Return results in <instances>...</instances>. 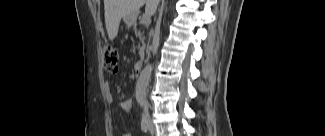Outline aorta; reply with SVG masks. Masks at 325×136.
Instances as JSON below:
<instances>
[{
    "mask_svg": "<svg viewBox=\"0 0 325 136\" xmlns=\"http://www.w3.org/2000/svg\"><path fill=\"white\" fill-rule=\"evenodd\" d=\"M152 70L153 67L151 64L146 65L136 83L135 96L137 103L142 107L146 105L147 87L151 78Z\"/></svg>",
    "mask_w": 325,
    "mask_h": 136,
    "instance_id": "762f6f07",
    "label": "aorta"
}]
</instances>
